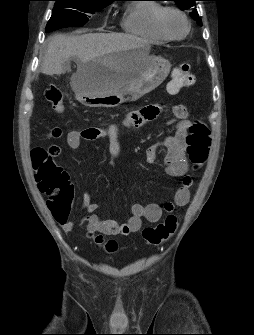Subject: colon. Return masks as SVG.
I'll return each mask as SVG.
<instances>
[{"label": "colon", "mask_w": 254, "mask_h": 335, "mask_svg": "<svg viewBox=\"0 0 254 335\" xmlns=\"http://www.w3.org/2000/svg\"><path fill=\"white\" fill-rule=\"evenodd\" d=\"M193 81L191 65L182 63L172 71V78L168 84L170 93H177L179 90L188 87ZM47 101L56 112H63V96L61 91L51 86L45 92ZM187 154L191 164L198 168L204 164L208 158L211 146V135L208 127L200 122L194 121L189 126L186 137ZM60 148L58 146L44 148H34L31 151V162L35 172L36 185L39 190L48 196L47 206L54 216L66 218L73 200V189L69 182L67 172L55 164L53 158L58 156ZM178 218L174 214H169L156 226L145 227L142 231L143 239L149 245H158L170 238L176 231ZM97 244H104L108 252L117 249L115 240L104 241L103 237H95Z\"/></svg>", "instance_id": "obj_1"}]
</instances>
